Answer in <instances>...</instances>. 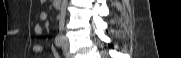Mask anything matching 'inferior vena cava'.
<instances>
[{
  "label": "inferior vena cava",
  "mask_w": 181,
  "mask_h": 58,
  "mask_svg": "<svg viewBox=\"0 0 181 58\" xmlns=\"http://www.w3.org/2000/svg\"><path fill=\"white\" fill-rule=\"evenodd\" d=\"M66 6H67V0H62L61 9H60L61 15H60V20H59V30L60 31L64 29Z\"/></svg>",
  "instance_id": "1"
}]
</instances>
